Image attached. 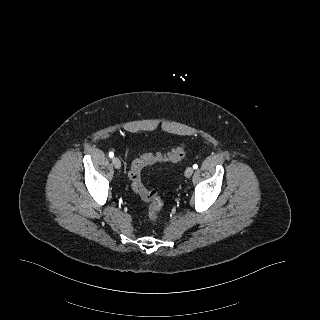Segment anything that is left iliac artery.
Masks as SVG:
<instances>
[{
	"label": "left iliac artery",
	"instance_id": "44dca946",
	"mask_svg": "<svg viewBox=\"0 0 320 320\" xmlns=\"http://www.w3.org/2000/svg\"><path fill=\"white\" fill-rule=\"evenodd\" d=\"M193 168H194V169H197V168H198V165H197V164H194V165H193Z\"/></svg>",
	"mask_w": 320,
	"mask_h": 320
}]
</instances>
